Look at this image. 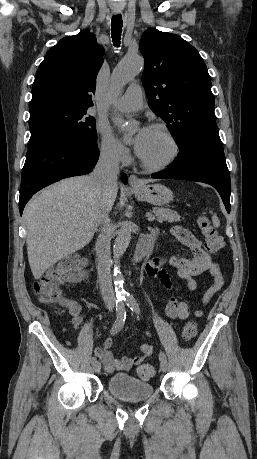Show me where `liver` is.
<instances>
[{"mask_svg": "<svg viewBox=\"0 0 257 459\" xmlns=\"http://www.w3.org/2000/svg\"><path fill=\"white\" fill-rule=\"evenodd\" d=\"M117 191L116 187L109 195V211ZM103 199L91 174L64 179L27 204L23 218L28 261L35 279L91 241Z\"/></svg>", "mask_w": 257, "mask_h": 459, "instance_id": "obj_1", "label": "liver"}]
</instances>
